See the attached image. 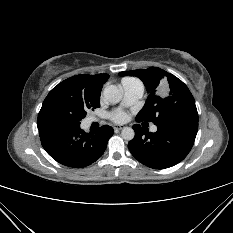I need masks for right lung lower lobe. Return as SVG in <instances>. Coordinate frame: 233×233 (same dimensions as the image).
<instances>
[{
    "label": "right lung lower lobe",
    "mask_w": 233,
    "mask_h": 233,
    "mask_svg": "<svg viewBox=\"0 0 233 233\" xmlns=\"http://www.w3.org/2000/svg\"><path fill=\"white\" fill-rule=\"evenodd\" d=\"M38 129L45 151L60 164L73 168H82L98 160L114 132L108 125L90 133L80 126L66 129L43 126Z\"/></svg>",
    "instance_id": "right-lung-lower-lobe-1"
}]
</instances>
